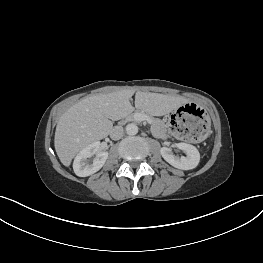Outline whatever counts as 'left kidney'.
I'll use <instances>...</instances> for the list:
<instances>
[{
	"instance_id": "obj_1",
	"label": "left kidney",
	"mask_w": 263,
	"mask_h": 263,
	"mask_svg": "<svg viewBox=\"0 0 263 263\" xmlns=\"http://www.w3.org/2000/svg\"><path fill=\"white\" fill-rule=\"evenodd\" d=\"M175 146L184 151L186 156H175L169 147H162L160 153L165 161L175 168L182 170L194 169L200 161V153L197 148L187 143H176Z\"/></svg>"
}]
</instances>
